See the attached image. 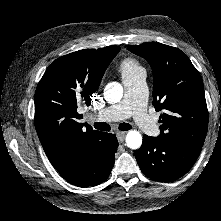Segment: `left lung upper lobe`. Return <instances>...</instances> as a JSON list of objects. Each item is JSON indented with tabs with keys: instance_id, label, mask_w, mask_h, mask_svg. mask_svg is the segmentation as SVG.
I'll list each match as a JSON object with an SVG mask.
<instances>
[{
	"instance_id": "1",
	"label": "left lung upper lobe",
	"mask_w": 221,
	"mask_h": 221,
	"mask_svg": "<svg viewBox=\"0 0 221 221\" xmlns=\"http://www.w3.org/2000/svg\"><path fill=\"white\" fill-rule=\"evenodd\" d=\"M128 49L146 59L153 71V105L162 110L160 137L201 151L208 127L202 78L186 54L158 42Z\"/></svg>"
}]
</instances>
